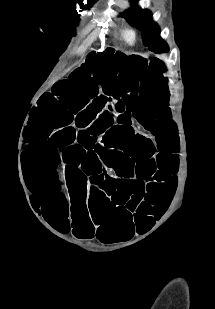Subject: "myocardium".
<instances>
[{
  "label": "myocardium",
  "instance_id": "obj_1",
  "mask_svg": "<svg viewBox=\"0 0 215 309\" xmlns=\"http://www.w3.org/2000/svg\"><path fill=\"white\" fill-rule=\"evenodd\" d=\"M123 38L129 45H133L136 42V38H137L136 31L131 28L125 29L123 31Z\"/></svg>",
  "mask_w": 215,
  "mask_h": 309
}]
</instances>
